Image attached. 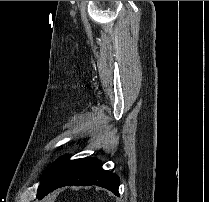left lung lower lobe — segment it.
Listing matches in <instances>:
<instances>
[{"mask_svg": "<svg viewBox=\"0 0 209 202\" xmlns=\"http://www.w3.org/2000/svg\"><path fill=\"white\" fill-rule=\"evenodd\" d=\"M97 185L119 196V177L102 168L96 158L69 160L61 157L52 164L37 191V198H44L49 192L63 186Z\"/></svg>", "mask_w": 209, "mask_h": 202, "instance_id": "obj_1", "label": "left lung lower lobe"}]
</instances>
